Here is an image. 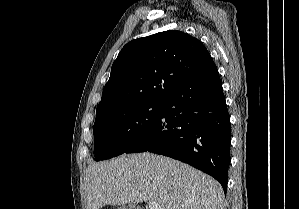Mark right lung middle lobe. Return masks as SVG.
<instances>
[{"label":"right lung middle lobe","mask_w":299,"mask_h":209,"mask_svg":"<svg viewBox=\"0 0 299 209\" xmlns=\"http://www.w3.org/2000/svg\"><path fill=\"white\" fill-rule=\"evenodd\" d=\"M163 107V102H139L96 115L93 130L95 160H105L124 153L157 121Z\"/></svg>","instance_id":"right-lung-middle-lobe-1"}]
</instances>
